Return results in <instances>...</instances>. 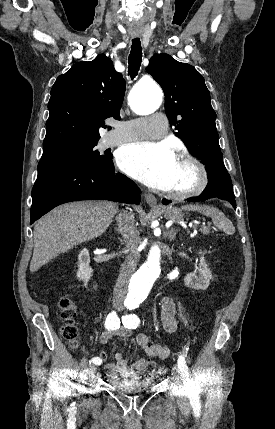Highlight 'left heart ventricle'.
I'll use <instances>...</instances> for the list:
<instances>
[{"instance_id": "obj_1", "label": "left heart ventricle", "mask_w": 275, "mask_h": 429, "mask_svg": "<svg viewBox=\"0 0 275 429\" xmlns=\"http://www.w3.org/2000/svg\"><path fill=\"white\" fill-rule=\"evenodd\" d=\"M197 174L192 165L177 159L173 180L168 191H184L194 186Z\"/></svg>"}]
</instances>
